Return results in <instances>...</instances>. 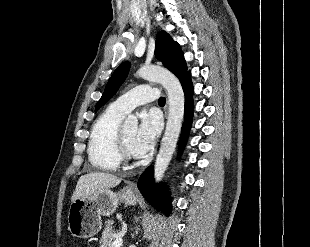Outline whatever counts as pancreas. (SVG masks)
Here are the masks:
<instances>
[{
  "mask_svg": "<svg viewBox=\"0 0 310 247\" xmlns=\"http://www.w3.org/2000/svg\"><path fill=\"white\" fill-rule=\"evenodd\" d=\"M105 224L106 226L100 239V247H113V241L120 236L121 232L114 230V227L112 226L113 221L108 220Z\"/></svg>",
  "mask_w": 310,
  "mask_h": 247,
  "instance_id": "1",
  "label": "pancreas"
}]
</instances>
